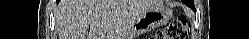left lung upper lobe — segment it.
<instances>
[{
    "instance_id": "left-lung-upper-lobe-1",
    "label": "left lung upper lobe",
    "mask_w": 249,
    "mask_h": 39,
    "mask_svg": "<svg viewBox=\"0 0 249 39\" xmlns=\"http://www.w3.org/2000/svg\"><path fill=\"white\" fill-rule=\"evenodd\" d=\"M183 3H185L187 6H190V7L193 6V0H184Z\"/></svg>"
}]
</instances>
